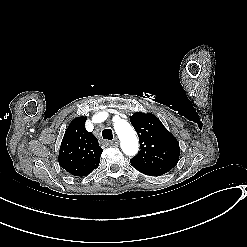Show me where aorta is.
<instances>
[{"label": "aorta", "mask_w": 247, "mask_h": 247, "mask_svg": "<svg viewBox=\"0 0 247 247\" xmlns=\"http://www.w3.org/2000/svg\"><path fill=\"white\" fill-rule=\"evenodd\" d=\"M114 130L120 139L122 151L128 156L135 155L139 142L132 126L126 120L119 119L114 122Z\"/></svg>", "instance_id": "aorta-1"}]
</instances>
